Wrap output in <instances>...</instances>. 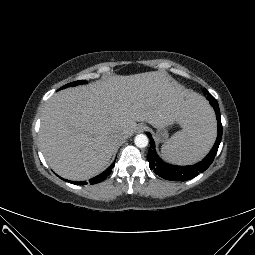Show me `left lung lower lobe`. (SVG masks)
<instances>
[{
    "instance_id": "0a47b994",
    "label": "left lung lower lobe",
    "mask_w": 255,
    "mask_h": 255,
    "mask_svg": "<svg viewBox=\"0 0 255 255\" xmlns=\"http://www.w3.org/2000/svg\"><path fill=\"white\" fill-rule=\"evenodd\" d=\"M208 94V99L210 101L211 106L214 108L216 112V117L218 121V135L216 142L209 152V154L199 163L191 166H174L170 165L164 161H162L155 151L154 141L149 133H147L148 137L151 139L150 148L148 152V161L149 167L154 171L158 176L173 181H187L194 177H196L199 173L204 172L210 164L213 162L214 157L218 151L219 144L222 138V124H221V116L220 110L218 106V102L216 99L210 94Z\"/></svg>"
}]
</instances>
